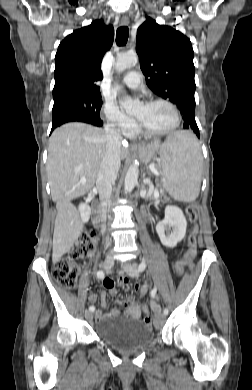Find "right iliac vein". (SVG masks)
<instances>
[{"label":"right iliac vein","instance_id":"63e3f726","mask_svg":"<svg viewBox=\"0 0 252 390\" xmlns=\"http://www.w3.org/2000/svg\"><path fill=\"white\" fill-rule=\"evenodd\" d=\"M114 265V261L112 258H106L104 261H103V268L106 270V271H110L112 269ZM85 317L88 321H92L93 319V314L91 311H86L85 313Z\"/></svg>","mask_w":252,"mask_h":390}]
</instances>
